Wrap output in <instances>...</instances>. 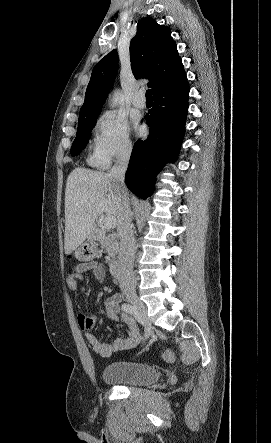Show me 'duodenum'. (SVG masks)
<instances>
[{"label": "duodenum", "instance_id": "obj_1", "mask_svg": "<svg viewBox=\"0 0 271 443\" xmlns=\"http://www.w3.org/2000/svg\"><path fill=\"white\" fill-rule=\"evenodd\" d=\"M132 248L130 243L125 240L118 259L113 260L110 264V271L115 277H119L123 269L127 266L131 259Z\"/></svg>", "mask_w": 271, "mask_h": 443}]
</instances>
